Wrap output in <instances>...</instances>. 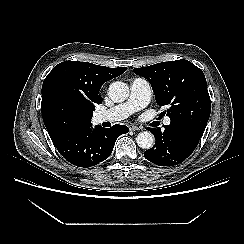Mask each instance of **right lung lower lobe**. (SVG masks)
<instances>
[{
  "mask_svg": "<svg viewBox=\"0 0 244 244\" xmlns=\"http://www.w3.org/2000/svg\"><path fill=\"white\" fill-rule=\"evenodd\" d=\"M128 132L125 125L111 128L92 125L75 127L51 137L59 153L78 167L95 166L107 159L116 139Z\"/></svg>",
  "mask_w": 244,
  "mask_h": 244,
  "instance_id": "98d812e1",
  "label": "right lung lower lobe"
}]
</instances>
